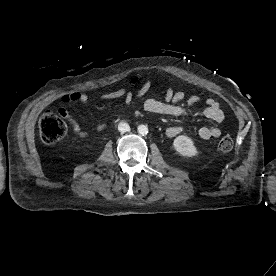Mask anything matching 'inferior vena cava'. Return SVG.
<instances>
[{"label": "inferior vena cava", "mask_w": 276, "mask_h": 276, "mask_svg": "<svg viewBox=\"0 0 276 276\" xmlns=\"http://www.w3.org/2000/svg\"><path fill=\"white\" fill-rule=\"evenodd\" d=\"M118 130L122 133H125L130 130V126L129 124L122 122L118 125Z\"/></svg>", "instance_id": "602c4592"}]
</instances>
